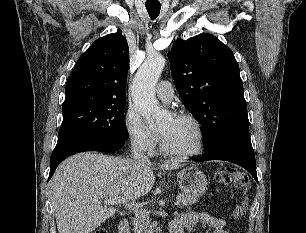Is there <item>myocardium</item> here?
I'll return each instance as SVG.
<instances>
[{"label":"myocardium","mask_w":306,"mask_h":233,"mask_svg":"<svg viewBox=\"0 0 306 233\" xmlns=\"http://www.w3.org/2000/svg\"><path fill=\"white\" fill-rule=\"evenodd\" d=\"M175 118L177 119H185V120H189L190 122L193 123V125L195 126V129L197 131V135H198V143L197 146L194 150L191 151H176L171 149L164 137L160 134V139H161V148L163 150L164 153L170 155V156H174V157H180V158H189V157H194L199 155L203 149H204V143H205V134H204V129L203 126L201 124V122L199 121V119L197 117H195L193 114L188 113V112H179L176 113L174 115Z\"/></svg>","instance_id":"obj_1"}]
</instances>
